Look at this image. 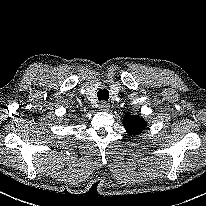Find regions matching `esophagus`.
Listing matches in <instances>:
<instances>
[{
    "label": "esophagus",
    "instance_id": "esophagus-1",
    "mask_svg": "<svg viewBox=\"0 0 206 206\" xmlns=\"http://www.w3.org/2000/svg\"><path fill=\"white\" fill-rule=\"evenodd\" d=\"M99 109L103 112H108L110 109V105L106 101H103L99 104Z\"/></svg>",
    "mask_w": 206,
    "mask_h": 206
}]
</instances>
